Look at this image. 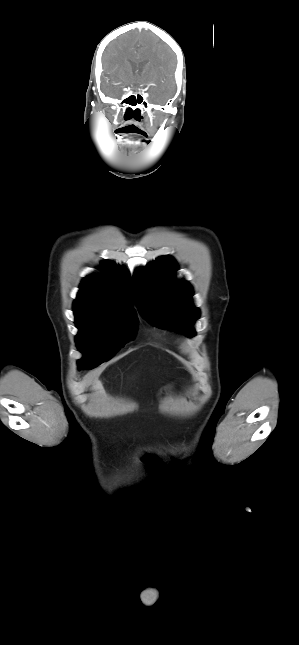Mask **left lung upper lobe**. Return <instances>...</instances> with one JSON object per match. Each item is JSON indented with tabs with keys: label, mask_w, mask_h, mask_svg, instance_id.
<instances>
[{
	"label": "left lung upper lobe",
	"mask_w": 299,
	"mask_h": 645,
	"mask_svg": "<svg viewBox=\"0 0 299 645\" xmlns=\"http://www.w3.org/2000/svg\"><path fill=\"white\" fill-rule=\"evenodd\" d=\"M177 263L170 256L139 268L133 276V295L140 313L160 328L195 335L191 325L200 311L190 301L193 289L188 281L177 280Z\"/></svg>",
	"instance_id": "obj_1"
}]
</instances>
